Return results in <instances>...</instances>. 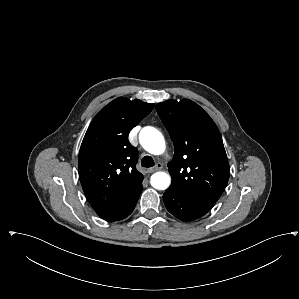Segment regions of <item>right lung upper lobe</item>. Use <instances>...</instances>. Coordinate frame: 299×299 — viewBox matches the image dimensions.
Wrapping results in <instances>:
<instances>
[{
  "label": "right lung upper lobe",
  "instance_id": "1",
  "mask_svg": "<svg viewBox=\"0 0 299 299\" xmlns=\"http://www.w3.org/2000/svg\"><path fill=\"white\" fill-rule=\"evenodd\" d=\"M154 104L119 97L92 120L81 144L78 169L83 191L100 217L115 210L142 185L138 151L128 134Z\"/></svg>",
  "mask_w": 299,
  "mask_h": 299
}]
</instances>
